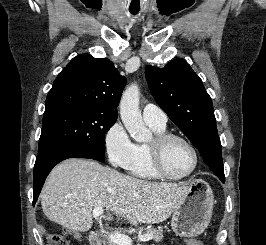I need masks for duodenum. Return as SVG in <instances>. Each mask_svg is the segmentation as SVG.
<instances>
[{"mask_svg": "<svg viewBox=\"0 0 266 245\" xmlns=\"http://www.w3.org/2000/svg\"><path fill=\"white\" fill-rule=\"evenodd\" d=\"M90 245H102L101 240H99L97 235L94 233L91 234Z\"/></svg>", "mask_w": 266, "mask_h": 245, "instance_id": "410a0bca", "label": "duodenum"}]
</instances>
